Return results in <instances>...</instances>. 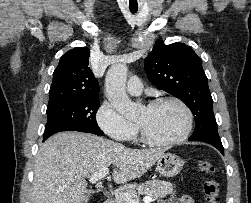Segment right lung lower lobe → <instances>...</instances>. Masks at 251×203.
<instances>
[{"mask_svg": "<svg viewBox=\"0 0 251 203\" xmlns=\"http://www.w3.org/2000/svg\"><path fill=\"white\" fill-rule=\"evenodd\" d=\"M48 137H49V136H47V137H44V138H43V141H45V140H46V139H47Z\"/></svg>", "mask_w": 251, "mask_h": 203, "instance_id": "right-lung-lower-lobe-1", "label": "right lung lower lobe"}]
</instances>
